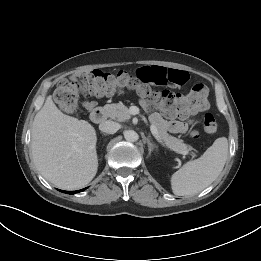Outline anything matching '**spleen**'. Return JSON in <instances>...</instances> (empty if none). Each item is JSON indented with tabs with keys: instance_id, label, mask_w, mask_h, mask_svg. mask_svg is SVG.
<instances>
[{
	"instance_id": "obj_1",
	"label": "spleen",
	"mask_w": 261,
	"mask_h": 261,
	"mask_svg": "<svg viewBox=\"0 0 261 261\" xmlns=\"http://www.w3.org/2000/svg\"><path fill=\"white\" fill-rule=\"evenodd\" d=\"M227 157V138H217L201 157L187 162L172 175L173 193L178 196H187L204 190L219 176Z\"/></svg>"
}]
</instances>
